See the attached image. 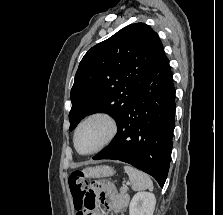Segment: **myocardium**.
Listing matches in <instances>:
<instances>
[{"label":"myocardium","mask_w":223,"mask_h":215,"mask_svg":"<svg viewBox=\"0 0 223 215\" xmlns=\"http://www.w3.org/2000/svg\"><path fill=\"white\" fill-rule=\"evenodd\" d=\"M94 121L102 122L105 124L106 129H107L106 136L102 140V142L93 150H91L89 152H81L77 148V145H76L77 134H78L79 130L81 129V127H83L84 125H86L90 122H94ZM117 131H118L117 123H116L115 119L109 113L102 112V111L95 112V113L90 114L89 116H87L86 118H84L82 121H80L78 123V125L75 128L74 134H73V145H74L77 153L82 156L94 155V154L102 151L104 148H106L107 146H109L111 144V142L114 140V138L117 134Z\"/></svg>","instance_id":"myocardium-1"}]
</instances>
